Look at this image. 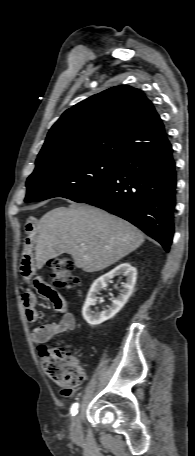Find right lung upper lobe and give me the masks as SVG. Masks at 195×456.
<instances>
[{"label":"right lung upper lobe","instance_id":"right-lung-upper-lobe-1","mask_svg":"<svg viewBox=\"0 0 195 456\" xmlns=\"http://www.w3.org/2000/svg\"><path fill=\"white\" fill-rule=\"evenodd\" d=\"M168 143L162 120L144 93L115 86L66 110L50 129L36 165L86 157L121 162Z\"/></svg>","mask_w":195,"mask_h":456}]
</instances>
